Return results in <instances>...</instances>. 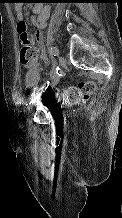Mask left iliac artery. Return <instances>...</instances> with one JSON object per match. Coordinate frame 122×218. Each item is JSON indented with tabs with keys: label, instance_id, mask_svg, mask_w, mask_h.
I'll return each instance as SVG.
<instances>
[{
	"label": "left iliac artery",
	"instance_id": "44dca946",
	"mask_svg": "<svg viewBox=\"0 0 122 218\" xmlns=\"http://www.w3.org/2000/svg\"><path fill=\"white\" fill-rule=\"evenodd\" d=\"M49 52H50V54H51L52 56L55 57V56L58 55L59 50H58L56 47H51L50 50H49ZM49 84H50V81L47 80V81L38 89V91H37L36 94L33 93V94L31 95V97H30V98L28 99V101L26 102V105L31 104V103L34 101L36 95H37V94H40V93H42V92H44V91L46 90V88L49 86Z\"/></svg>",
	"mask_w": 122,
	"mask_h": 218
}]
</instances>
